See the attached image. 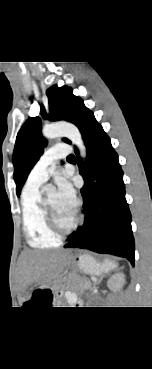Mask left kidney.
Instances as JSON below:
<instances>
[{
    "instance_id": "obj_1",
    "label": "left kidney",
    "mask_w": 152,
    "mask_h": 369,
    "mask_svg": "<svg viewBox=\"0 0 152 369\" xmlns=\"http://www.w3.org/2000/svg\"><path fill=\"white\" fill-rule=\"evenodd\" d=\"M124 284H125V276L121 272L114 274L107 281L108 288L115 292L120 291V289L123 287Z\"/></svg>"
}]
</instances>
